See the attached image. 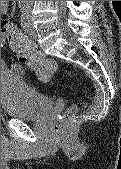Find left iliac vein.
Returning a JSON list of instances; mask_svg holds the SVG:
<instances>
[{
    "instance_id": "1",
    "label": "left iliac vein",
    "mask_w": 121,
    "mask_h": 169,
    "mask_svg": "<svg viewBox=\"0 0 121 169\" xmlns=\"http://www.w3.org/2000/svg\"><path fill=\"white\" fill-rule=\"evenodd\" d=\"M26 32L28 33L30 37H33V38L36 37V34H37L36 29L34 28L32 24L30 16L28 17V21H27Z\"/></svg>"
}]
</instances>
